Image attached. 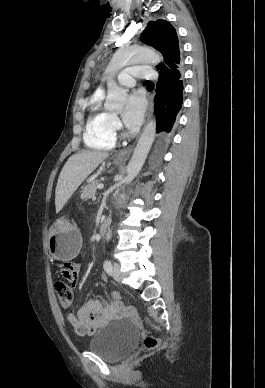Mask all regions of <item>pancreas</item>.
I'll return each mask as SVG.
<instances>
[{
  "label": "pancreas",
  "mask_w": 265,
  "mask_h": 388,
  "mask_svg": "<svg viewBox=\"0 0 265 388\" xmlns=\"http://www.w3.org/2000/svg\"><path fill=\"white\" fill-rule=\"evenodd\" d=\"M99 180H94L88 186H85L82 190V194L80 196L81 200H90V198H94L97 190V186H99Z\"/></svg>",
  "instance_id": "pancreas-1"
}]
</instances>
